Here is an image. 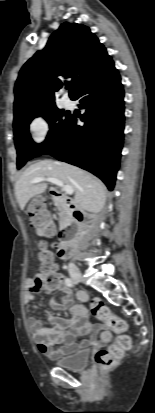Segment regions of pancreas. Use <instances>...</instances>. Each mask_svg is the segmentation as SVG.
I'll list each match as a JSON object with an SVG mask.
<instances>
[{"mask_svg": "<svg viewBox=\"0 0 155 413\" xmlns=\"http://www.w3.org/2000/svg\"><path fill=\"white\" fill-rule=\"evenodd\" d=\"M54 204H55L57 210L59 211L60 220H62L64 217L68 216L67 209L63 206V204L58 199H54Z\"/></svg>", "mask_w": 155, "mask_h": 413, "instance_id": "cf45deb5", "label": "pancreas"}]
</instances>
